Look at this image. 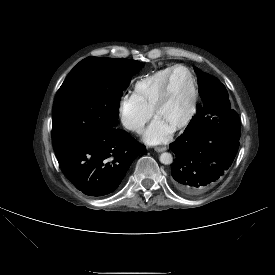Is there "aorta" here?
<instances>
[{"instance_id":"762f6f07","label":"aorta","mask_w":275,"mask_h":275,"mask_svg":"<svg viewBox=\"0 0 275 275\" xmlns=\"http://www.w3.org/2000/svg\"><path fill=\"white\" fill-rule=\"evenodd\" d=\"M160 162L165 165H169L173 162V157L170 153L164 152L160 155Z\"/></svg>"}]
</instances>
